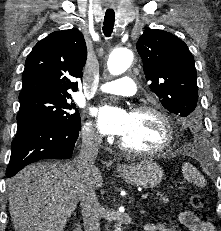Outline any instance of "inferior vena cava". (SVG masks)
<instances>
[{"label": "inferior vena cava", "mask_w": 221, "mask_h": 231, "mask_svg": "<svg viewBox=\"0 0 221 231\" xmlns=\"http://www.w3.org/2000/svg\"><path fill=\"white\" fill-rule=\"evenodd\" d=\"M102 136L94 130L88 129L82 137V147L79 156L74 160L81 173L82 194L81 213L85 231L100 230V204L92 186L91 174L95 170V160L98 154Z\"/></svg>", "instance_id": "1"}]
</instances>
